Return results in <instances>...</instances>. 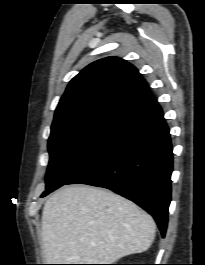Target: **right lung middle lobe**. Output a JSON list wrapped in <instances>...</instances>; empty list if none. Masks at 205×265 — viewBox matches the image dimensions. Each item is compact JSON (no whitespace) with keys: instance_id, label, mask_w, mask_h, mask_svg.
<instances>
[{"instance_id":"1","label":"right lung middle lobe","mask_w":205,"mask_h":265,"mask_svg":"<svg viewBox=\"0 0 205 265\" xmlns=\"http://www.w3.org/2000/svg\"><path fill=\"white\" fill-rule=\"evenodd\" d=\"M124 125L101 122L63 132L51 133L48 140L50 160L46 190L42 197L66 184L99 154Z\"/></svg>"}]
</instances>
